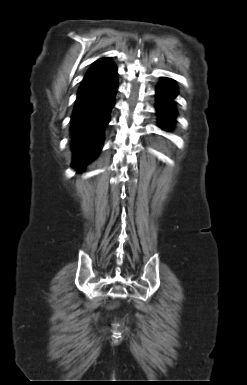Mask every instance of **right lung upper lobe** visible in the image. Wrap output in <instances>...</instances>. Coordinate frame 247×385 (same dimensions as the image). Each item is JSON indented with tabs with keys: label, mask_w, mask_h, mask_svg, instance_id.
I'll use <instances>...</instances> for the list:
<instances>
[{
	"label": "right lung upper lobe",
	"mask_w": 247,
	"mask_h": 385,
	"mask_svg": "<svg viewBox=\"0 0 247 385\" xmlns=\"http://www.w3.org/2000/svg\"><path fill=\"white\" fill-rule=\"evenodd\" d=\"M111 62L109 58H101V59H98L97 61H95L93 63V65L91 66V68L89 69V71L97 68V67H100L102 65H105L107 63Z\"/></svg>",
	"instance_id": "cb5924a9"
}]
</instances>
